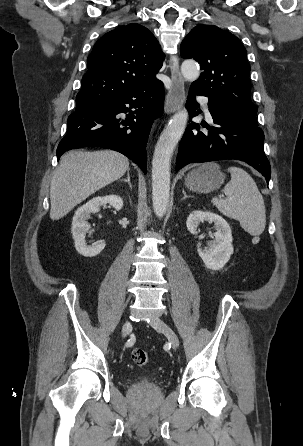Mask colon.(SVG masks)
<instances>
[{
    "label": "colon",
    "instance_id": "colon-1",
    "mask_svg": "<svg viewBox=\"0 0 303 446\" xmlns=\"http://www.w3.org/2000/svg\"><path fill=\"white\" fill-rule=\"evenodd\" d=\"M132 360L139 367H145L150 362L148 353L142 349H135L132 352Z\"/></svg>",
    "mask_w": 303,
    "mask_h": 446
}]
</instances>
